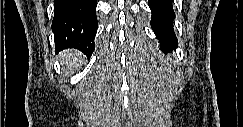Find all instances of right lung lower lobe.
<instances>
[{"label":"right lung lower lobe","instance_id":"98d812e1","mask_svg":"<svg viewBox=\"0 0 243 127\" xmlns=\"http://www.w3.org/2000/svg\"><path fill=\"white\" fill-rule=\"evenodd\" d=\"M96 0H54L55 51L75 48L90 57L97 31Z\"/></svg>","mask_w":243,"mask_h":127}]
</instances>
